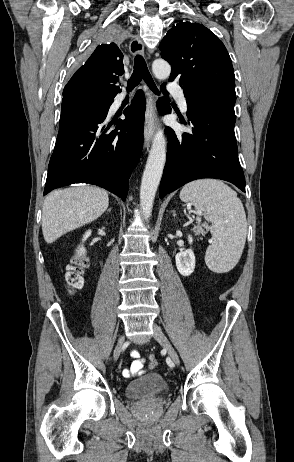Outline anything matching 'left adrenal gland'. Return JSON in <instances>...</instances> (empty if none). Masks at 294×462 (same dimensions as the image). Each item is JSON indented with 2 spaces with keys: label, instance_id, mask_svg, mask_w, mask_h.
<instances>
[{
  "label": "left adrenal gland",
  "instance_id": "obj_1",
  "mask_svg": "<svg viewBox=\"0 0 294 462\" xmlns=\"http://www.w3.org/2000/svg\"><path fill=\"white\" fill-rule=\"evenodd\" d=\"M171 212H172L173 216H175V211H174V210H172Z\"/></svg>",
  "mask_w": 294,
  "mask_h": 462
}]
</instances>
